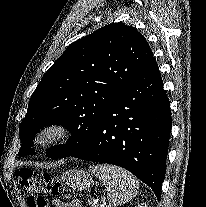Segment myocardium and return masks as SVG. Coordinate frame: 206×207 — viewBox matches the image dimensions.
Masks as SVG:
<instances>
[{
    "label": "myocardium",
    "instance_id": "obj_1",
    "mask_svg": "<svg viewBox=\"0 0 206 207\" xmlns=\"http://www.w3.org/2000/svg\"><path fill=\"white\" fill-rule=\"evenodd\" d=\"M73 136L72 128L63 122H49L36 133L34 141L41 148H52L64 144Z\"/></svg>",
    "mask_w": 206,
    "mask_h": 207
}]
</instances>
